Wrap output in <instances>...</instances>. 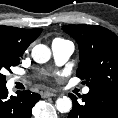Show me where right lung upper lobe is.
<instances>
[{"instance_id": "right-lung-upper-lobe-1", "label": "right lung upper lobe", "mask_w": 118, "mask_h": 118, "mask_svg": "<svg viewBox=\"0 0 118 118\" xmlns=\"http://www.w3.org/2000/svg\"><path fill=\"white\" fill-rule=\"evenodd\" d=\"M42 29H21L0 25V45L23 54L27 47L40 35Z\"/></svg>"}]
</instances>
